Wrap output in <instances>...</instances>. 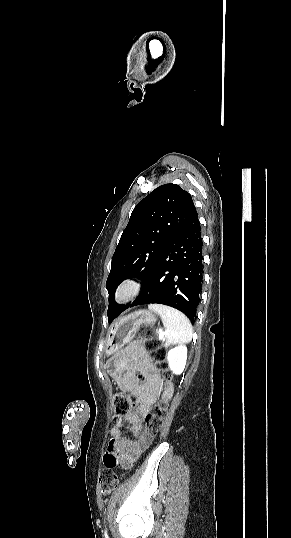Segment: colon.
Wrapping results in <instances>:
<instances>
[{
	"label": "colon",
	"instance_id": "1",
	"mask_svg": "<svg viewBox=\"0 0 291 538\" xmlns=\"http://www.w3.org/2000/svg\"><path fill=\"white\" fill-rule=\"evenodd\" d=\"M139 338L146 348L149 358L156 365H162L165 352L155 338L154 328L151 326H142L139 329ZM145 375L137 374L139 382L145 381ZM166 380L170 379V375L164 373ZM135 399L133 396L126 393H117L113 397V411L116 419H120L130 413L134 406ZM168 415V405L166 401L158 402L154 405L151 412L146 416V430L153 437L156 436L162 429L165 418ZM105 468L102 469L99 476L100 490L105 495L112 494L118 486V477L114 473L113 468L117 464L115 455L111 450H107L104 455Z\"/></svg>",
	"mask_w": 291,
	"mask_h": 538
}]
</instances>
